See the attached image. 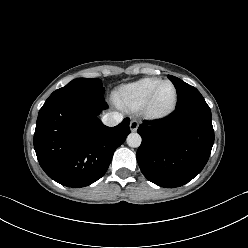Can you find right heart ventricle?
I'll return each mask as SVG.
<instances>
[{"label":"right heart ventricle","mask_w":248,"mask_h":248,"mask_svg":"<svg viewBox=\"0 0 248 248\" xmlns=\"http://www.w3.org/2000/svg\"><path fill=\"white\" fill-rule=\"evenodd\" d=\"M160 78L146 77L125 84L114 94L116 103L123 109L134 111L141 107L150 90L159 82Z\"/></svg>","instance_id":"1"}]
</instances>
